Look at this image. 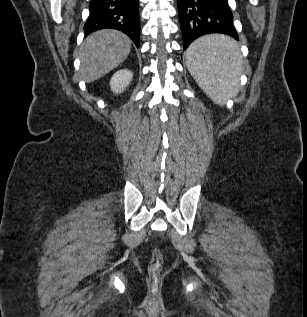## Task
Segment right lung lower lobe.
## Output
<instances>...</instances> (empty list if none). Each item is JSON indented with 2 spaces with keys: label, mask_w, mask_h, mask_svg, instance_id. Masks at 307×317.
<instances>
[{
  "label": "right lung lower lobe",
  "mask_w": 307,
  "mask_h": 317,
  "mask_svg": "<svg viewBox=\"0 0 307 317\" xmlns=\"http://www.w3.org/2000/svg\"><path fill=\"white\" fill-rule=\"evenodd\" d=\"M89 10L90 15L84 25L86 35L104 28L117 29L139 47L138 0H91Z\"/></svg>",
  "instance_id": "98d812e1"
}]
</instances>
